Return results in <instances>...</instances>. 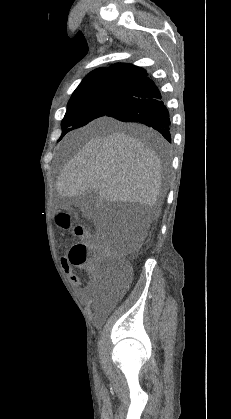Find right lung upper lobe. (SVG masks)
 <instances>
[{
  "mask_svg": "<svg viewBox=\"0 0 231 419\" xmlns=\"http://www.w3.org/2000/svg\"><path fill=\"white\" fill-rule=\"evenodd\" d=\"M146 76V70L143 68L131 64L117 63L108 68H98L92 71L82 80L75 91L106 85L135 87Z\"/></svg>",
  "mask_w": 231,
  "mask_h": 419,
  "instance_id": "cb5924a9",
  "label": "right lung upper lobe"
}]
</instances>
